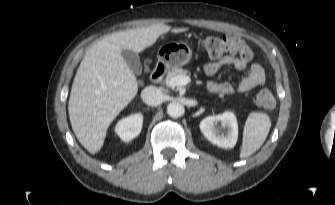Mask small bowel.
Instances as JSON below:
<instances>
[{"mask_svg": "<svg viewBox=\"0 0 335 205\" xmlns=\"http://www.w3.org/2000/svg\"><path fill=\"white\" fill-rule=\"evenodd\" d=\"M227 66H232L240 72L246 71V74L237 86H233L229 82H210L207 85V88L210 92L219 94H232L237 91L244 93L264 83L265 73L260 64L254 63L247 68L246 60L233 55H227L216 61L207 63L205 65V72L212 76L215 75L220 69Z\"/></svg>", "mask_w": 335, "mask_h": 205, "instance_id": "c3829d8e", "label": "small bowel"}]
</instances>
